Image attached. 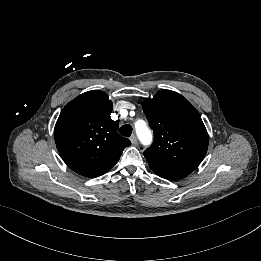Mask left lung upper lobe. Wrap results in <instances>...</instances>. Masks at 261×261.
I'll return each instance as SVG.
<instances>
[{
  "instance_id": "1",
  "label": "left lung upper lobe",
  "mask_w": 261,
  "mask_h": 261,
  "mask_svg": "<svg viewBox=\"0 0 261 261\" xmlns=\"http://www.w3.org/2000/svg\"><path fill=\"white\" fill-rule=\"evenodd\" d=\"M154 131V142L144 151L151 169L182 177L203 160L208 134L197 110L179 93L159 91L142 104Z\"/></svg>"
}]
</instances>
